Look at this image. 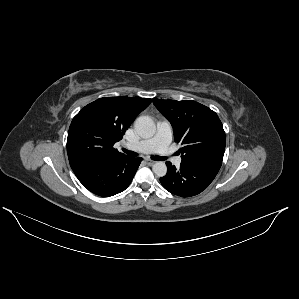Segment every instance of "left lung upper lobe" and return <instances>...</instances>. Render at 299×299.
I'll use <instances>...</instances> for the list:
<instances>
[{"label": "left lung upper lobe", "instance_id": "left-lung-upper-lobe-1", "mask_svg": "<svg viewBox=\"0 0 299 299\" xmlns=\"http://www.w3.org/2000/svg\"><path fill=\"white\" fill-rule=\"evenodd\" d=\"M156 108L170 121L175 141L182 144V161L213 159L221 161L226 137L217 114L190 100L153 99Z\"/></svg>", "mask_w": 299, "mask_h": 299}]
</instances>
